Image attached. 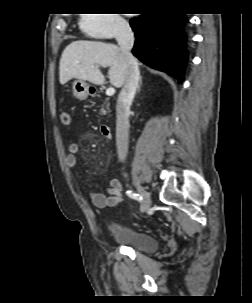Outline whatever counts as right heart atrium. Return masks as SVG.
I'll use <instances>...</instances> for the list:
<instances>
[{
    "label": "right heart atrium",
    "instance_id": "right-heart-atrium-1",
    "mask_svg": "<svg viewBox=\"0 0 252 303\" xmlns=\"http://www.w3.org/2000/svg\"><path fill=\"white\" fill-rule=\"evenodd\" d=\"M80 26L91 37L107 40L128 33L129 25L119 14H83Z\"/></svg>",
    "mask_w": 252,
    "mask_h": 303
}]
</instances>
